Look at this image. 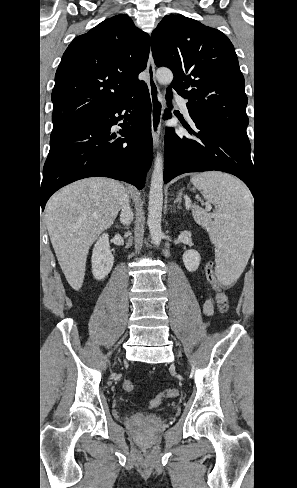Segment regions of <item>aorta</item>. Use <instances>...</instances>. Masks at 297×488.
Wrapping results in <instances>:
<instances>
[{"instance_id": "aorta-1", "label": "aorta", "mask_w": 297, "mask_h": 488, "mask_svg": "<svg viewBox=\"0 0 297 488\" xmlns=\"http://www.w3.org/2000/svg\"><path fill=\"white\" fill-rule=\"evenodd\" d=\"M156 78L160 84L167 85L173 80L170 69L161 68L156 72ZM163 154L158 152L155 157L154 169L151 177L148 205V227L152 242L159 245L163 236L161 229V217L163 206Z\"/></svg>"}]
</instances>
